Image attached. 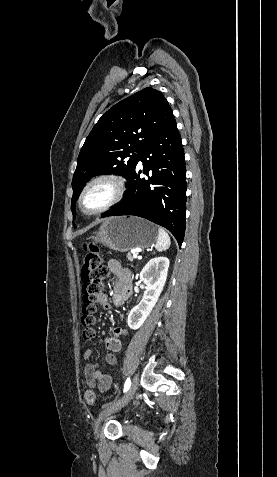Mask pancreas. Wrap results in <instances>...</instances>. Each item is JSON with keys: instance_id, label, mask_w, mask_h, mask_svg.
I'll use <instances>...</instances> for the list:
<instances>
[{"instance_id": "1", "label": "pancreas", "mask_w": 277, "mask_h": 477, "mask_svg": "<svg viewBox=\"0 0 277 477\" xmlns=\"http://www.w3.org/2000/svg\"><path fill=\"white\" fill-rule=\"evenodd\" d=\"M127 258L131 262L134 260V257L130 253L127 254Z\"/></svg>"}]
</instances>
